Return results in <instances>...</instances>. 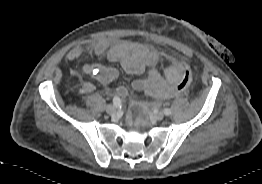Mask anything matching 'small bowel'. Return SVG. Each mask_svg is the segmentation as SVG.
I'll return each mask as SVG.
<instances>
[{
  "label": "small bowel",
  "mask_w": 262,
  "mask_h": 184,
  "mask_svg": "<svg viewBox=\"0 0 262 184\" xmlns=\"http://www.w3.org/2000/svg\"><path fill=\"white\" fill-rule=\"evenodd\" d=\"M93 54L100 61L119 63L122 69L129 74H145L144 78L134 80L133 88L159 99L172 96L169 92L170 87H177L181 81L180 71L182 68L178 63L172 61V64L161 73L158 69L161 55L143 44L128 40L100 39L73 48L67 53L65 59L68 62L78 63L85 75L96 78L103 84L115 80L119 74L118 70L114 67L91 63ZM93 90L94 86L91 82L86 80L81 82L80 91L82 94L91 93Z\"/></svg>",
  "instance_id": "small-bowel-1"
}]
</instances>
